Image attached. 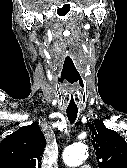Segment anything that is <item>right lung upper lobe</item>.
Listing matches in <instances>:
<instances>
[{
	"mask_svg": "<svg viewBox=\"0 0 127 168\" xmlns=\"http://www.w3.org/2000/svg\"><path fill=\"white\" fill-rule=\"evenodd\" d=\"M45 146L37 123L23 126L0 142V168H41Z\"/></svg>",
	"mask_w": 127,
	"mask_h": 168,
	"instance_id": "1",
	"label": "right lung upper lobe"
}]
</instances>
